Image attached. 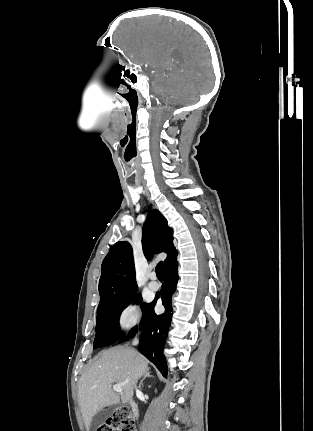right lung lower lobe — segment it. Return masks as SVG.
I'll return each instance as SVG.
<instances>
[{"instance_id": "98d812e1", "label": "right lung lower lobe", "mask_w": 313, "mask_h": 431, "mask_svg": "<svg viewBox=\"0 0 313 431\" xmlns=\"http://www.w3.org/2000/svg\"><path fill=\"white\" fill-rule=\"evenodd\" d=\"M178 282V262L177 255L171 259L165 267V281L162 285L160 294L158 293L152 303L146 305L143 309V317L140 322V330L142 335L138 346L139 352L148 358L156 365L159 371L166 376L167 366L165 356L163 354V346L166 341L168 328L171 325L172 319V295L176 290ZM161 296L162 303L165 307V312L157 315L154 312V305L157 299ZM137 332V327L129 331L128 335L119 340L118 343L129 340Z\"/></svg>"}]
</instances>
